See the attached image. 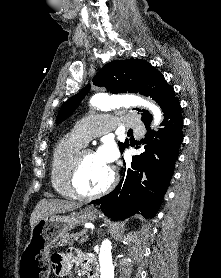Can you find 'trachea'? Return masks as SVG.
Segmentation results:
<instances>
[{"instance_id":"1","label":"trachea","mask_w":221,"mask_h":278,"mask_svg":"<svg viewBox=\"0 0 221 278\" xmlns=\"http://www.w3.org/2000/svg\"><path fill=\"white\" fill-rule=\"evenodd\" d=\"M128 133H129V134H132V133H133V131H132V130H128Z\"/></svg>"}]
</instances>
